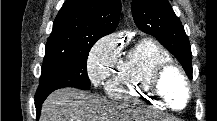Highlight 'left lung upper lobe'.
Listing matches in <instances>:
<instances>
[{"label": "left lung upper lobe", "instance_id": "left-lung-upper-lobe-1", "mask_svg": "<svg viewBox=\"0 0 217 121\" xmlns=\"http://www.w3.org/2000/svg\"><path fill=\"white\" fill-rule=\"evenodd\" d=\"M131 10L137 27L156 37L181 63L192 79V53L184 27L167 0H133Z\"/></svg>", "mask_w": 217, "mask_h": 121}]
</instances>
